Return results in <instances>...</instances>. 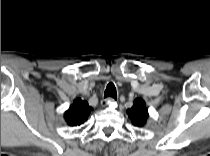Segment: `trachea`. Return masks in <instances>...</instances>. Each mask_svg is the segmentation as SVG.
I'll return each mask as SVG.
<instances>
[{"mask_svg":"<svg viewBox=\"0 0 210 156\" xmlns=\"http://www.w3.org/2000/svg\"><path fill=\"white\" fill-rule=\"evenodd\" d=\"M104 97H110L113 98L115 100H117V93H116V88L115 85L113 83H109L106 87L105 93H104Z\"/></svg>","mask_w":210,"mask_h":156,"instance_id":"1","label":"trachea"}]
</instances>
